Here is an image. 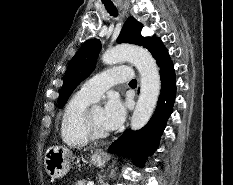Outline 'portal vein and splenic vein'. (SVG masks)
I'll use <instances>...</instances> for the list:
<instances>
[{"instance_id":"1","label":"portal vein and splenic vein","mask_w":233,"mask_h":185,"mask_svg":"<svg viewBox=\"0 0 233 185\" xmlns=\"http://www.w3.org/2000/svg\"><path fill=\"white\" fill-rule=\"evenodd\" d=\"M87 185H94V182H93V181H89V182L87 183Z\"/></svg>"}]
</instances>
